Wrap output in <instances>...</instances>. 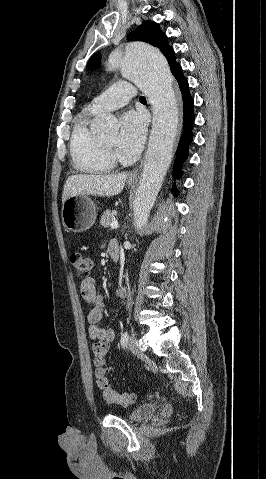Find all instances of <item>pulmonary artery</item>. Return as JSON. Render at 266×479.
<instances>
[{"label": "pulmonary artery", "mask_w": 266, "mask_h": 479, "mask_svg": "<svg viewBox=\"0 0 266 479\" xmlns=\"http://www.w3.org/2000/svg\"><path fill=\"white\" fill-rule=\"evenodd\" d=\"M135 95L136 90L129 82L120 81L96 96L90 103L89 109L92 112L116 110L128 103Z\"/></svg>", "instance_id": "1"}]
</instances>
